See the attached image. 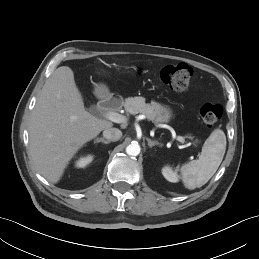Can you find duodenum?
<instances>
[{
	"instance_id": "duodenum-1",
	"label": "duodenum",
	"mask_w": 259,
	"mask_h": 259,
	"mask_svg": "<svg viewBox=\"0 0 259 259\" xmlns=\"http://www.w3.org/2000/svg\"><path fill=\"white\" fill-rule=\"evenodd\" d=\"M121 100L118 98V96H107L102 98L99 101V106L102 109L111 110V109H117L121 106Z\"/></svg>"
}]
</instances>
